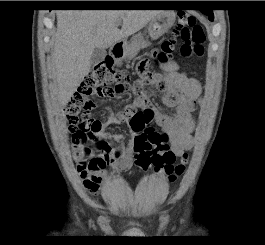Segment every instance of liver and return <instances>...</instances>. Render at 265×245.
Returning a JSON list of instances; mask_svg holds the SVG:
<instances>
[{"label": "liver", "mask_w": 265, "mask_h": 245, "mask_svg": "<svg viewBox=\"0 0 265 245\" xmlns=\"http://www.w3.org/2000/svg\"><path fill=\"white\" fill-rule=\"evenodd\" d=\"M160 10H63L57 13L52 65L61 106L89 73L95 48L106 49L135 34ZM117 21H122L118 29Z\"/></svg>", "instance_id": "6515ba94"}]
</instances>
